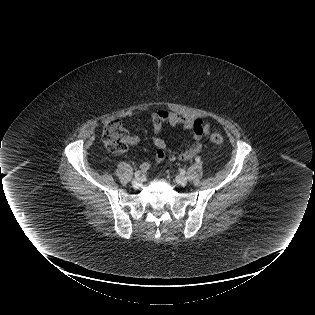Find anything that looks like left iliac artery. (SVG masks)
<instances>
[{"instance_id":"1","label":"left iliac artery","mask_w":315,"mask_h":315,"mask_svg":"<svg viewBox=\"0 0 315 315\" xmlns=\"http://www.w3.org/2000/svg\"><path fill=\"white\" fill-rule=\"evenodd\" d=\"M195 161H196L197 163H199V162H200V157H196V158H195Z\"/></svg>"}]
</instances>
